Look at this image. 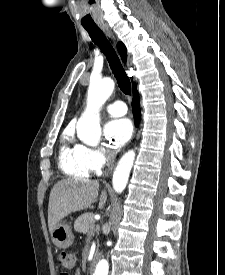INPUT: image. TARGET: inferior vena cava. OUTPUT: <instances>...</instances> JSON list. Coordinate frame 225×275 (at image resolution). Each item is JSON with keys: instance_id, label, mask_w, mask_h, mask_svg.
I'll return each instance as SVG.
<instances>
[{"instance_id": "602c4592", "label": "inferior vena cava", "mask_w": 225, "mask_h": 275, "mask_svg": "<svg viewBox=\"0 0 225 275\" xmlns=\"http://www.w3.org/2000/svg\"><path fill=\"white\" fill-rule=\"evenodd\" d=\"M112 162H113V154L111 152H108L107 153V164H108V166L110 164H112Z\"/></svg>"}]
</instances>
